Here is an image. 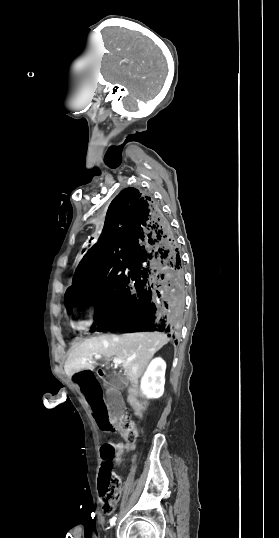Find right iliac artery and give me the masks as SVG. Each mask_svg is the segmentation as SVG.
<instances>
[{
	"mask_svg": "<svg viewBox=\"0 0 279 538\" xmlns=\"http://www.w3.org/2000/svg\"><path fill=\"white\" fill-rule=\"evenodd\" d=\"M115 521H116V516L111 518L110 525L113 526L115 524Z\"/></svg>",
	"mask_w": 279,
	"mask_h": 538,
	"instance_id": "right-iliac-artery-1",
	"label": "right iliac artery"
}]
</instances>
